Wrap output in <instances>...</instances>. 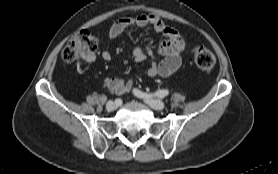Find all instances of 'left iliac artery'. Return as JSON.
<instances>
[{
  "label": "left iliac artery",
  "mask_w": 278,
  "mask_h": 174,
  "mask_svg": "<svg viewBox=\"0 0 278 174\" xmlns=\"http://www.w3.org/2000/svg\"><path fill=\"white\" fill-rule=\"evenodd\" d=\"M134 94L140 98H150L152 96H156L159 98H164L165 96H167L169 94L168 90H158L157 92H155L154 94H147V93H143L138 89H134L133 90Z\"/></svg>",
  "instance_id": "1"
}]
</instances>
